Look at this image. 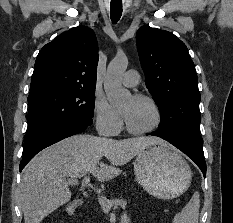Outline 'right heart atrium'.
Listing matches in <instances>:
<instances>
[{
	"label": "right heart atrium",
	"instance_id": "d8ad5b80",
	"mask_svg": "<svg viewBox=\"0 0 233 223\" xmlns=\"http://www.w3.org/2000/svg\"><path fill=\"white\" fill-rule=\"evenodd\" d=\"M94 114L96 128L107 135H116L122 128V119L118 111L104 98L94 100Z\"/></svg>",
	"mask_w": 233,
	"mask_h": 223
}]
</instances>
